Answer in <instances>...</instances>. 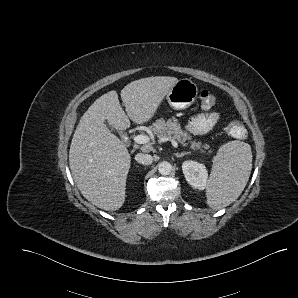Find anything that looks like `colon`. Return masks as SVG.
<instances>
[{
	"label": "colon",
	"mask_w": 298,
	"mask_h": 298,
	"mask_svg": "<svg viewBox=\"0 0 298 298\" xmlns=\"http://www.w3.org/2000/svg\"><path fill=\"white\" fill-rule=\"evenodd\" d=\"M199 100L201 103L202 108L209 109L215 104V96L207 91L203 90L201 91L199 95ZM225 131L228 135L231 137L237 138V139H243L247 135L246 128L244 127V124L236 118H231L226 126Z\"/></svg>",
	"instance_id": "1"
}]
</instances>
